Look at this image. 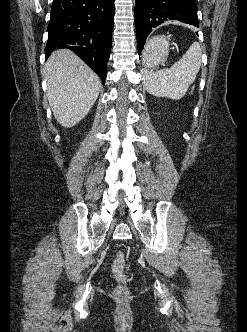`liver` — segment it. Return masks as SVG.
Returning a JSON list of instances; mask_svg holds the SVG:
<instances>
[{"label": "liver", "instance_id": "6515ba94", "mask_svg": "<svg viewBox=\"0 0 247 332\" xmlns=\"http://www.w3.org/2000/svg\"><path fill=\"white\" fill-rule=\"evenodd\" d=\"M44 77L53 114L65 128L73 127L88 114L101 88L100 78L67 49L51 54Z\"/></svg>", "mask_w": 247, "mask_h": 332}]
</instances>
